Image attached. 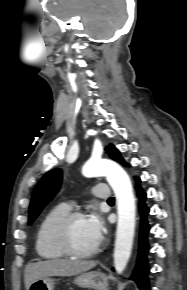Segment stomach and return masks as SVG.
<instances>
[{
  "instance_id": "obj_1",
  "label": "stomach",
  "mask_w": 187,
  "mask_h": 290,
  "mask_svg": "<svg viewBox=\"0 0 187 290\" xmlns=\"http://www.w3.org/2000/svg\"><path fill=\"white\" fill-rule=\"evenodd\" d=\"M56 279L51 277H44L34 281L28 290H53ZM73 282L80 287L107 290L108 277L98 271L83 272L77 275Z\"/></svg>"
}]
</instances>
